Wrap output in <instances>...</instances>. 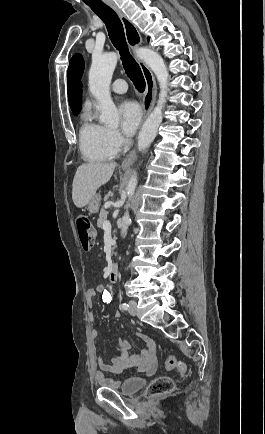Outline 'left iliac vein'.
<instances>
[{"label":"left iliac vein","instance_id":"4c4485c4","mask_svg":"<svg viewBox=\"0 0 265 434\" xmlns=\"http://www.w3.org/2000/svg\"><path fill=\"white\" fill-rule=\"evenodd\" d=\"M129 306H130L128 309L129 313L133 316L137 315V302L134 300H131L129 302Z\"/></svg>","mask_w":265,"mask_h":434}]
</instances>
